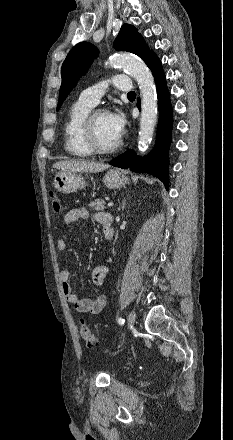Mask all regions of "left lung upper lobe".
I'll list each match as a JSON object with an SVG mask.
<instances>
[{
    "mask_svg": "<svg viewBox=\"0 0 233 440\" xmlns=\"http://www.w3.org/2000/svg\"><path fill=\"white\" fill-rule=\"evenodd\" d=\"M114 47L116 50L128 51L138 55L146 64L155 55L146 45L137 29L129 24H124L121 27L114 41ZM97 55V48L89 42L78 43L68 53L61 68L62 84L57 109L60 108L79 78L86 73L89 65Z\"/></svg>",
    "mask_w": 233,
    "mask_h": 440,
    "instance_id": "left-lung-upper-lobe-1",
    "label": "left lung upper lobe"
}]
</instances>
